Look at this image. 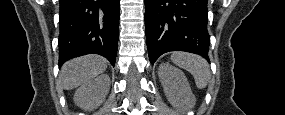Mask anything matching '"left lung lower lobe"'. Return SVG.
<instances>
[{"label":"left lung lower lobe","instance_id":"1","mask_svg":"<svg viewBox=\"0 0 285 115\" xmlns=\"http://www.w3.org/2000/svg\"><path fill=\"white\" fill-rule=\"evenodd\" d=\"M207 0H145V28L149 60L168 51H186L207 61Z\"/></svg>","mask_w":285,"mask_h":115}]
</instances>
